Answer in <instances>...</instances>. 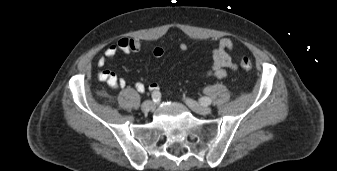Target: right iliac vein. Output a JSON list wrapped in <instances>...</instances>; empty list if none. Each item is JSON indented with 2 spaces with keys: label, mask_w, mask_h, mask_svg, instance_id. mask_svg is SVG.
Wrapping results in <instances>:
<instances>
[{
  "label": "right iliac vein",
  "mask_w": 337,
  "mask_h": 171,
  "mask_svg": "<svg viewBox=\"0 0 337 171\" xmlns=\"http://www.w3.org/2000/svg\"><path fill=\"white\" fill-rule=\"evenodd\" d=\"M155 108V104L151 100L144 101L141 109L143 112H149Z\"/></svg>",
  "instance_id": "right-iliac-vein-1"
}]
</instances>
